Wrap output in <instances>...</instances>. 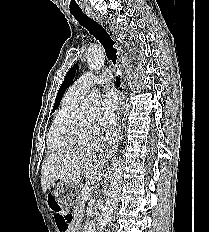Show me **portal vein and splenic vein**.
<instances>
[{"mask_svg": "<svg viewBox=\"0 0 209 232\" xmlns=\"http://www.w3.org/2000/svg\"><path fill=\"white\" fill-rule=\"evenodd\" d=\"M90 198H91V193L89 192L82 195V199L85 201L90 200Z\"/></svg>", "mask_w": 209, "mask_h": 232, "instance_id": "1", "label": "portal vein and splenic vein"}]
</instances>
